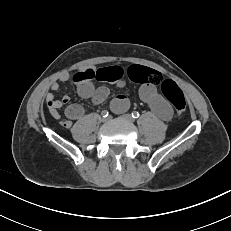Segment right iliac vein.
<instances>
[{
    "mask_svg": "<svg viewBox=\"0 0 231 231\" xmlns=\"http://www.w3.org/2000/svg\"><path fill=\"white\" fill-rule=\"evenodd\" d=\"M101 120H102L103 122H105V121H107L108 119H106V118H102Z\"/></svg>",
    "mask_w": 231,
    "mask_h": 231,
    "instance_id": "1",
    "label": "right iliac vein"
}]
</instances>
